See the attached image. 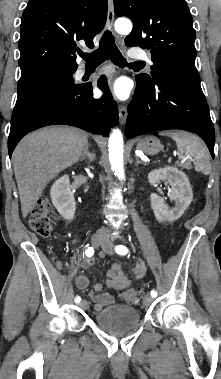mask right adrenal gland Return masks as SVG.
<instances>
[{
    "label": "right adrenal gland",
    "mask_w": 221,
    "mask_h": 379,
    "mask_svg": "<svg viewBox=\"0 0 221 379\" xmlns=\"http://www.w3.org/2000/svg\"><path fill=\"white\" fill-rule=\"evenodd\" d=\"M87 159L88 163H91L92 161L95 160V154L94 152L89 151V144L87 143L84 147V150L82 154L80 155V161Z\"/></svg>",
    "instance_id": "2a0ac1e0"
}]
</instances>
